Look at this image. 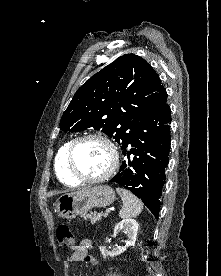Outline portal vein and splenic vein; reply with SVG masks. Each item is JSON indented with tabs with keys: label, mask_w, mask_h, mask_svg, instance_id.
Segmentation results:
<instances>
[{
	"label": "portal vein and splenic vein",
	"mask_w": 221,
	"mask_h": 276,
	"mask_svg": "<svg viewBox=\"0 0 221 276\" xmlns=\"http://www.w3.org/2000/svg\"><path fill=\"white\" fill-rule=\"evenodd\" d=\"M108 213H110V209H107V210L105 211V214H108Z\"/></svg>",
	"instance_id": "portal-vein-and-splenic-vein-1"
}]
</instances>
